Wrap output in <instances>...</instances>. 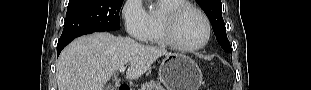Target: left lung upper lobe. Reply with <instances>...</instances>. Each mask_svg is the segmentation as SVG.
<instances>
[{
  "label": "left lung upper lobe",
  "mask_w": 311,
  "mask_h": 90,
  "mask_svg": "<svg viewBox=\"0 0 311 90\" xmlns=\"http://www.w3.org/2000/svg\"><path fill=\"white\" fill-rule=\"evenodd\" d=\"M197 2L209 18L218 43L225 52L231 53V45L227 38L225 24L222 18L221 0H197Z\"/></svg>",
  "instance_id": "5c2ea615"
}]
</instances>
